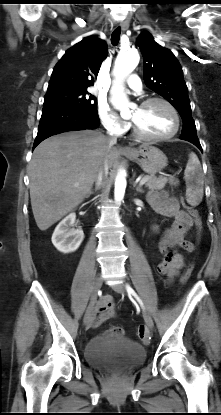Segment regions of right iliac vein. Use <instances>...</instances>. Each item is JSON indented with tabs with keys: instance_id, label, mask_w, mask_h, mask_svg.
Listing matches in <instances>:
<instances>
[{
	"instance_id": "1",
	"label": "right iliac vein",
	"mask_w": 221,
	"mask_h": 415,
	"mask_svg": "<svg viewBox=\"0 0 221 415\" xmlns=\"http://www.w3.org/2000/svg\"><path fill=\"white\" fill-rule=\"evenodd\" d=\"M102 282L103 280L101 277H97L94 282L93 289L91 292L90 303L84 316V325H89L94 319L95 303L97 300L98 292L102 287Z\"/></svg>"
}]
</instances>
